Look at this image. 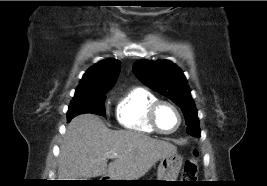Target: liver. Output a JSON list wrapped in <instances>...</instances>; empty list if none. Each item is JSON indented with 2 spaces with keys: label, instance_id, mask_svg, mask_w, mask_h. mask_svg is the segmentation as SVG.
Here are the masks:
<instances>
[{
  "label": "liver",
  "instance_id": "obj_1",
  "mask_svg": "<svg viewBox=\"0 0 267 186\" xmlns=\"http://www.w3.org/2000/svg\"><path fill=\"white\" fill-rule=\"evenodd\" d=\"M175 151L169 142L135 131H113L98 116L82 114L67 126L60 146L58 178L78 180L108 175L111 180H135ZM106 153L117 154L108 165Z\"/></svg>",
  "mask_w": 267,
  "mask_h": 186
}]
</instances>
